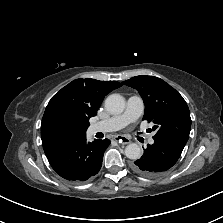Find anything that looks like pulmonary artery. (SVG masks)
Here are the masks:
<instances>
[{
    "mask_svg": "<svg viewBox=\"0 0 223 223\" xmlns=\"http://www.w3.org/2000/svg\"><path fill=\"white\" fill-rule=\"evenodd\" d=\"M144 110V103L140 96L133 95L127 99L126 109L122 114L112 116L108 119L95 122L90 125L89 132L96 134L98 132H112L117 131L128 124L136 121ZM149 144L154 143V139H148Z\"/></svg>",
    "mask_w": 223,
    "mask_h": 223,
    "instance_id": "pulmonary-artery-1",
    "label": "pulmonary artery"
}]
</instances>
